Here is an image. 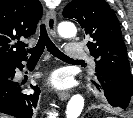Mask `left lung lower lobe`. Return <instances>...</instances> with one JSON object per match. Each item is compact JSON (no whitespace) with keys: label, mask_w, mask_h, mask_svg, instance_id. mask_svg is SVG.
<instances>
[{"label":"left lung lower lobe","mask_w":133,"mask_h":118,"mask_svg":"<svg viewBox=\"0 0 133 118\" xmlns=\"http://www.w3.org/2000/svg\"><path fill=\"white\" fill-rule=\"evenodd\" d=\"M99 81L98 90L105 101L112 107L125 109L133 105V94L122 86L114 83L106 75L99 73L97 77Z\"/></svg>","instance_id":"left-lung-lower-lobe-1"}]
</instances>
